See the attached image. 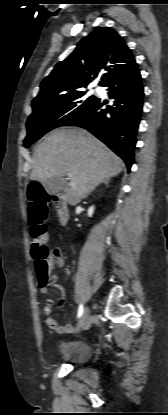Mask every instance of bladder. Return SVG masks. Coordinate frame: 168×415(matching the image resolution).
Listing matches in <instances>:
<instances>
[{
    "mask_svg": "<svg viewBox=\"0 0 168 415\" xmlns=\"http://www.w3.org/2000/svg\"><path fill=\"white\" fill-rule=\"evenodd\" d=\"M62 359L74 365L83 364L89 360L91 350L89 346L83 342H71L62 347Z\"/></svg>",
    "mask_w": 168,
    "mask_h": 415,
    "instance_id": "obj_1",
    "label": "bladder"
}]
</instances>
